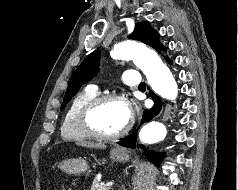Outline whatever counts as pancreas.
Segmentation results:
<instances>
[{
    "label": "pancreas",
    "mask_w": 238,
    "mask_h": 190,
    "mask_svg": "<svg viewBox=\"0 0 238 190\" xmlns=\"http://www.w3.org/2000/svg\"><path fill=\"white\" fill-rule=\"evenodd\" d=\"M91 190H109V187L103 186L102 183L99 181V179L95 178L93 180Z\"/></svg>",
    "instance_id": "1"
}]
</instances>
